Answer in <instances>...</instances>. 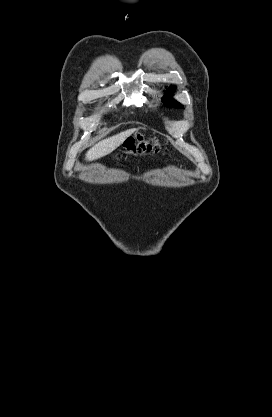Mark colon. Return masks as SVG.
Listing matches in <instances>:
<instances>
[{
  "instance_id": "obj_1",
  "label": "colon",
  "mask_w": 272,
  "mask_h": 417,
  "mask_svg": "<svg viewBox=\"0 0 272 417\" xmlns=\"http://www.w3.org/2000/svg\"><path fill=\"white\" fill-rule=\"evenodd\" d=\"M126 150L131 154H145L148 152H158L161 149L160 144L157 141H151L138 137L136 139L131 138L125 143Z\"/></svg>"
}]
</instances>
